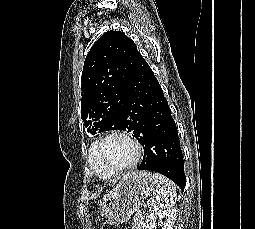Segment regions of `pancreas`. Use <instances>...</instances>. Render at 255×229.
I'll list each match as a JSON object with an SVG mask.
<instances>
[{"label":"pancreas","instance_id":"1","mask_svg":"<svg viewBox=\"0 0 255 229\" xmlns=\"http://www.w3.org/2000/svg\"><path fill=\"white\" fill-rule=\"evenodd\" d=\"M133 219L134 221L132 223V229H142L144 216L140 214L139 212H137Z\"/></svg>","mask_w":255,"mask_h":229}]
</instances>
